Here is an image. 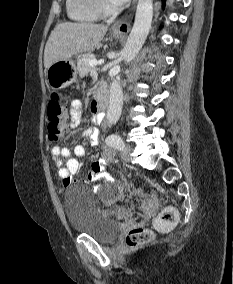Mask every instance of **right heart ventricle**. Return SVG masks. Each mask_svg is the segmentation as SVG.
<instances>
[{"instance_id": "e07e8e85", "label": "right heart ventricle", "mask_w": 233, "mask_h": 284, "mask_svg": "<svg viewBox=\"0 0 233 284\" xmlns=\"http://www.w3.org/2000/svg\"><path fill=\"white\" fill-rule=\"evenodd\" d=\"M68 17L76 22L91 23L99 19L94 0H66Z\"/></svg>"}]
</instances>
